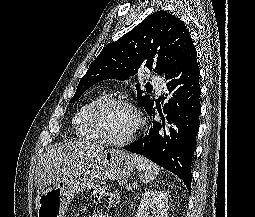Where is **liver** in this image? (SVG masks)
<instances>
[{"instance_id": "1", "label": "liver", "mask_w": 255, "mask_h": 217, "mask_svg": "<svg viewBox=\"0 0 255 217\" xmlns=\"http://www.w3.org/2000/svg\"><path fill=\"white\" fill-rule=\"evenodd\" d=\"M104 152L102 144L89 141L67 142L49 148L40 158L35 185L44 189L68 174L81 169L84 164Z\"/></svg>"}]
</instances>
